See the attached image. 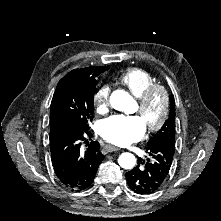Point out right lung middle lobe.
<instances>
[{"label":"right lung middle lobe","instance_id":"obj_1","mask_svg":"<svg viewBox=\"0 0 221 221\" xmlns=\"http://www.w3.org/2000/svg\"><path fill=\"white\" fill-rule=\"evenodd\" d=\"M108 69L109 66H104L93 74L73 73L59 81L51 102L50 136L66 129H89L94 112L95 78Z\"/></svg>","mask_w":221,"mask_h":221}]
</instances>
